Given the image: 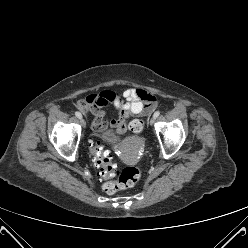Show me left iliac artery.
I'll list each match as a JSON object with an SVG mask.
<instances>
[{"label":"left iliac artery","instance_id":"1","mask_svg":"<svg viewBox=\"0 0 248 248\" xmlns=\"http://www.w3.org/2000/svg\"><path fill=\"white\" fill-rule=\"evenodd\" d=\"M160 115V112L159 111H156L153 115V117L157 118L158 116Z\"/></svg>","mask_w":248,"mask_h":248}]
</instances>
